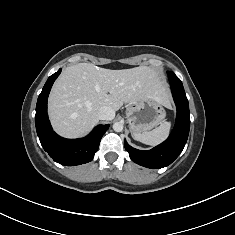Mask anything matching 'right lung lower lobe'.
Wrapping results in <instances>:
<instances>
[{"label": "right lung lower lobe", "instance_id": "right-lung-lower-lobe-1", "mask_svg": "<svg viewBox=\"0 0 235 235\" xmlns=\"http://www.w3.org/2000/svg\"><path fill=\"white\" fill-rule=\"evenodd\" d=\"M60 73L61 69L48 78L38 97L35 125L40 143L50 157L62 165L75 166L93 159L101 138L110 125H98L88 136L81 139H65L53 131L47 115V99L51 87Z\"/></svg>", "mask_w": 235, "mask_h": 235}]
</instances>
